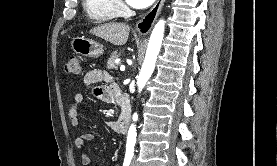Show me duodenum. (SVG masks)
I'll return each mask as SVG.
<instances>
[{"label": "duodenum", "instance_id": "1", "mask_svg": "<svg viewBox=\"0 0 277 166\" xmlns=\"http://www.w3.org/2000/svg\"><path fill=\"white\" fill-rule=\"evenodd\" d=\"M116 102L119 105L120 113L117 121V128L121 132H126L131 117V106L128 97L125 94L117 93Z\"/></svg>", "mask_w": 277, "mask_h": 166}]
</instances>
